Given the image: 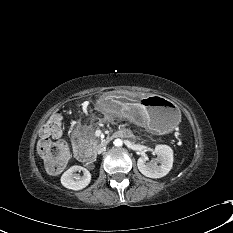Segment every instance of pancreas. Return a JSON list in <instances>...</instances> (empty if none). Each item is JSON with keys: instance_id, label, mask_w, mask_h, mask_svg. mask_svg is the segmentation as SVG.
Segmentation results:
<instances>
[{"instance_id": "pancreas-1", "label": "pancreas", "mask_w": 233, "mask_h": 233, "mask_svg": "<svg viewBox=\"0 0 233 233\" xmlns=\"http://www.w3.org/2000/svg\"><path fill=\"white\" fill-rule=\"evenodd\" d=\"M94 144L96 145V144H97V141H95Z\"/></svg>"}]
</instances>
